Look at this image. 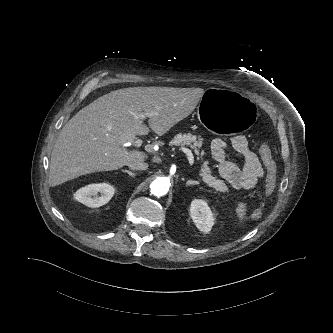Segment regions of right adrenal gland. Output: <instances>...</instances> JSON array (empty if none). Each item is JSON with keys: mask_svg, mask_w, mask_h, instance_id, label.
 Listing matches in <instances>:
<instances>
[{"mask_svg": "<svg viewBox=\"0 0 333 333\" xmlns=\"http://www.w3.org/2000/svg\"><path fill=\"white\" fill-rule=\"evenodd\" d=\"M122 172H124V173H127L129 176H131V177H135V173H133V172H131V171H129V170H122Z\"/></svg>", "mask_w": 333, "mask_h": 333, "instance_id": "right-adrenal-gland-1", "label": "right adrenal gland"}]
</instances>
